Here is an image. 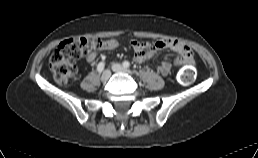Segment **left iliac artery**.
<instances>
[{
    "label": "left iliac artery",
    "instance_id": "44dca946",
    "mask_svg": "<svg viewBox=\"0 0 258 158\" xmlns=\"http://www.w3.org/2000/svg\"><path fill=\"white\" fill-rule=\"evenodd\" d=\"M123 66L126 67V68H128V67L130 66V63H129L128 61H124V62H123Z\"/></svg>",
    "mask_w": 258,
    "mask_h": 158
}]
</instances>
